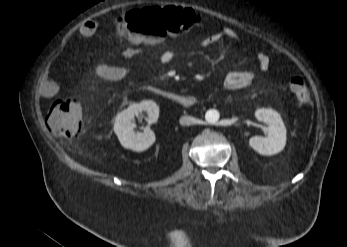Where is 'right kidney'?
<instances>
[{
	"label": "right kidney",
	"mask_w": 347,
	"mask_h": 247,
	"mask_svg": "<svg viewBox=\"0 0 347 247\" xmlns=\"http://www.w3.org/2000/svg\"><path fill=\"white\" fill-rule=\"evenodd\" d=\"M142 111L147 112L148 122L154 123L159 117V106L152 100L130 105L115 117L114 132L124 148L141 152L148 149L155 141V134L149 128L135 133L133 119Z\"/></svg>",
	"instance_id": "1"
}]
</instances>
